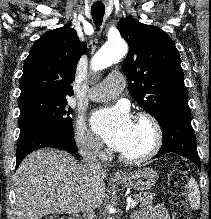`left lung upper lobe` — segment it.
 Instances as JSON below:
<instances>
[{
    "instance_id": "5c2ea615",
    "label": "left lung upper lobe",
    "mask_w": 211,
    "mask_h": 219,
    "mask_svg": "<svg viewBox=\"0 0 211 219\" xmlns=\"http://www.w3.org/2000/svg\"><path fill=\"white\" fill-rule=\"evenodd\" d=\"M117 28L129 45L122 69L135 101L158 122L170 111L190 110L180 56L167 33L131 19Z\"/></svg>"
}]
</instances>
